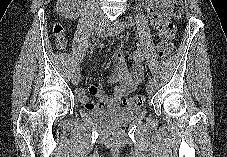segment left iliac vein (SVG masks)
I'll return each instance as SVG.
<instances>
[{
	"label": "left iliac vein",
	"mask_w": 227,
	"mask_h": 157,
	"mask_svg": "<svg viewBox=\"0 0 227 157\" xmlns=\"http://www.w3.org/2000/svg\"><path fill=\"white\" fill-rule=\"evenodd\" d=\"M123 22H119L117 24V27L115 29V33H121L124 29V27L122 26ZM114 32H111V34H113ZM146 90H147V93L148 94H153L154 91H155V86H154V83H148L147 86H146Z\"/></svg>",
	"instance_id": "obj_1"
}]
</instances>
